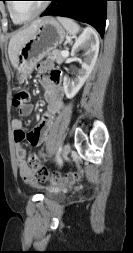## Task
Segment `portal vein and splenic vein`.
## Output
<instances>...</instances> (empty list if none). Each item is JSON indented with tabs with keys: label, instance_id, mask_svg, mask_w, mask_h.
<instances>
[{
	"label": "portal vein and splenic vein",
	"instance_id": "18ae733b",
	"mask_svg": "<svg viewBox=\"0 0 133 253\" xmlns=\"http://www.w3.org/2000/svg\"><path fill=\"white\" fill-rule=\"evenodd\" d=\"M61 54H62L63 56H65V57H67L69 53H68V51L63 50V51L61 52Z\"/></svg>",
	"mask_w": 133,
	"mask_h": 253
}]
</instances>
